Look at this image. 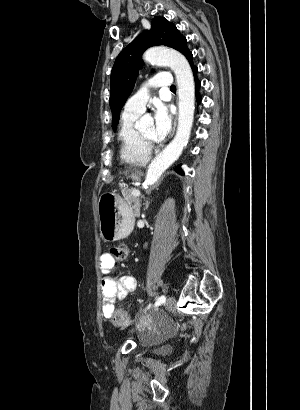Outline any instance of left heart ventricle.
Segmentation results:
<instances>
[{
  "label": "left heart ventricle",
  "mask_w": 300,
  "mask_h": 410,
  "mask_svg": "<svg viewBox=\"0 0 300 410\" xmlns=\"http://www.w3.org/2000/svg\"><path fill=\"white\" fill-rule=\"evenodd\" d=\"M141 132L148 138H153V133H154V126L153 124L147 125Z\"/></svg>",
  "instance_id": "b2bd125f"
}]
</instances>
